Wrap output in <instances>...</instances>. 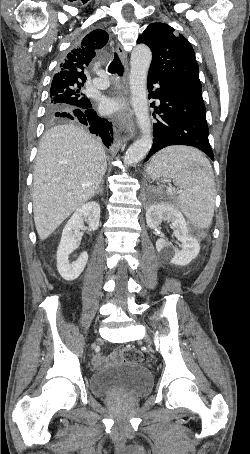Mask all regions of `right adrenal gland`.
Here are the masks:
<instances>
[{
  "instance_id": "2a0ac1e0",
  "label": "right adrenal gland",
  "mask_w": 250,
  "mask_h": 454,
  "mask_svg": "<svg viewBox=\"0 0 250 454\" xmlns=\"http://www.w3.org/2000/svg\"><path fill=\"white\" fill-rule=\"evenodd\" d=\"M103 180L101 181L99 187H98V190L96 191V194H100V195H103Z\"/></svg>"
}]
</instances>
